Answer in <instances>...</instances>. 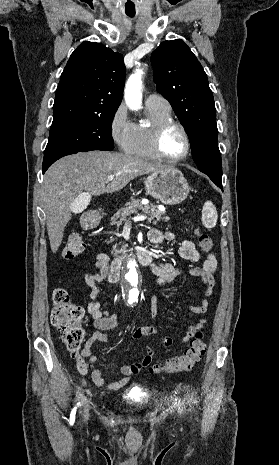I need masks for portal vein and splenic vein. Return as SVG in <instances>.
<instances>
[{
    "label": "portal vein and splenic vein",
    "instance_id": "1",
    "mask_svg": "<svg viewBox=\"0 0 279 465\" xmlns=\"http://www.w3.org/2000/svg\"><path fill=\"white\" fill-rule=\"evenodd\" d=\"M113 179H114V176H108L107 180L112 181ZM80 197L88 198V197H90V195L87 194V193H83ZM146 218H147V216H145V215H138V216H135L134 218H132V220L135 221V222H138V221H144V220H146Z\"/></svg>",
    "mask_w": 279,
    "mask_h": 465
}]
</instances>
